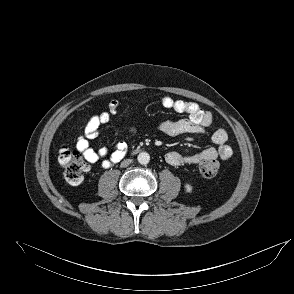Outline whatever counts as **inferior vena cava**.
I'll return each mask as SVG.
<instances>
[{
    "label": "inferior vena cava",
    "instance_id": "inferior-vena-cava-1",
    "mask_svg": "<svg viewBox=\"0 0 294 294\" xmlns=\"http://www.w3.org/2000/svg\"><path fill=\"white\" fill-rule=\"evenodd\" d=\"M132 162V159H126L121 162V167H127Z\"/></svg>",
    "mask_w": 294,
    "mask_h": 294
}]
</instances>
